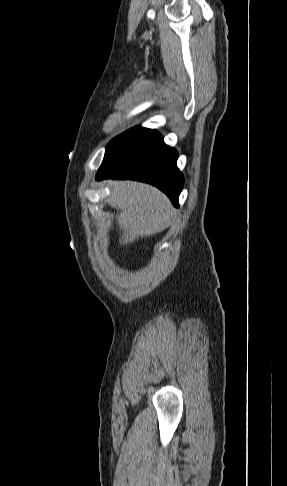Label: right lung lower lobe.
<instances>
[{
    "instance_id": "1",
    "label": "right lung lower lobe",
    "mask_w": 287,
    "mask_h": 486,
    "mask_svg": "<svg viewBox=\"0 0 287 486\" xmlns=\"http://www.w3.org/2000/svg\"><path fill=\"white\" fill-rule=\"evenodd\" d=\"M176 150L169 148L155 130L105 158L96 179H133L150 183L165 192L175 206L183 188V175L176 162Z\"/></svg>"
}]
</instances>
